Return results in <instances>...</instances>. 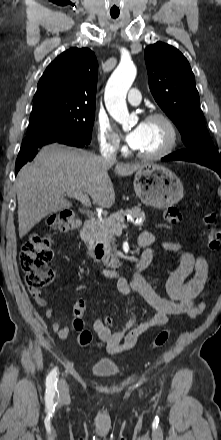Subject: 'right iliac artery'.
Listing matches in <instances>:
<instances>
[{
  "label": "right iliac artery",
  "mask_w": 221,
  "mask_h": 440,
  "mask_svg": "<svg viewBox=\"0 0 221 440\" xmlns=\"http://www.w3.org/2000/svg\"><path fill=\"white\" fill-rule=\"evenodd\" d=\"M57 368H54L46 379V394L48 397L52 398L55 395V392L57 391Z\"/></svg>",
  "instance_id": "82829eb1"
}]
</instances>
